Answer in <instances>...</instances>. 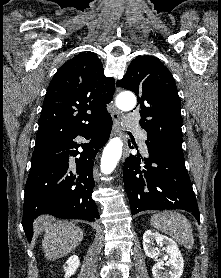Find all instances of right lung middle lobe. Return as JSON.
Wrapping results in <instances>:
<instances>
[{
  "mask_svg": "<svg viewBox=\"0 0 221 278\" xmlns=\"http://www.w3.org/2000/svg\"><path fill=\"white\" fill-rule=\"evenodd\" d=\"M42 149H43V147H42V148L34 149V152H33V155H32V159L38 157V156H39V153H40V151H41Z\"/></svg>",
  "mask_w": 221,
  "mask_h": 278,
  "instance_id": "right-lung-middle-lobe-1",
  "label": "right lung middle lobe"
}]
</instances>
